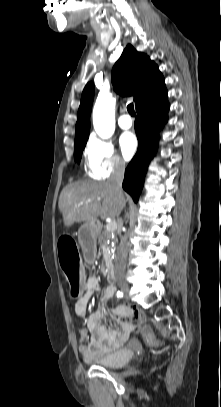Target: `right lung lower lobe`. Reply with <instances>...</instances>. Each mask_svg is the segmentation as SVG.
Listing matches in <instances>:
<instances>
[{"instance_id":"1","label":"right lung lower lobe","mask_w":221,"mask_h":407,"mask_svg":"<svg viewBox=\"0 0 221 407\" xmlns=\"http://www.w3.org/2000/svg\"><path fill=\"white\" fill-rule=\"evenodd\" d=\"M169 104L167 90L164 87L153 98L136 108L135 130L138 138V150L125 170L122 187L135 202L143 188L144 178L150 160L153 158L158 143L157 132L167 122Z\"/></svg>"}]
</instances>
